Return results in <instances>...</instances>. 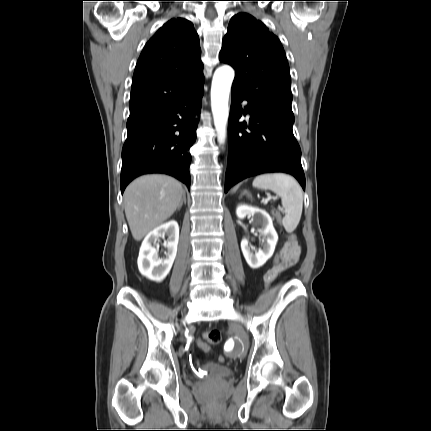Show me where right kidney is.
I'll return each instance as SVG.
<instances>
[{"mask_svg":"<svg viewBox=\"0 0 431 431\" xmlns=\"http://www.w3.org/2000/svg\"><path fill=\"white\" fill-rule=\"evenodd\" d=\"M161 236H167L164 243L167 251L164 253V257H159V249L154 246ZM178 241L179 226L176 221L167 222L151 231L140 247L137 260L140 273L152 281H163L174 263Z\"/></svg>","mask_w":431,"mask_h":431,"instance_id":"1","label":"right kidney"}]
</instances>
